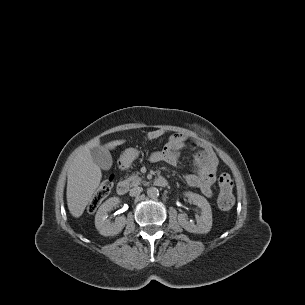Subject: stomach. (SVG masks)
I'll list each match as a JSON object with an SVG mask.
<instances>
[{
	"instance_id": "obj_1",
	"label": "stomach",
	"mask_w": 305,
	"mask_h": 305,
	"mask_svg": "<svg viewBox=\"0 0 305 305\" xmlns=\"http://www.w3.org/2000/svg\"><path fill=\"white\" fill-rule=\"evenodd\" d=\"M139 156V151L135 148L126 149L121 155L119 161L122 166L128 167Z\"/></svg>"
}]
</instances>
